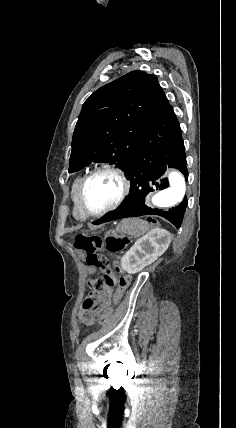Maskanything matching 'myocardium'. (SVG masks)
Segmentation results:
<instances>
[{
    "label": "myocardium",
    "instance_id": "1",
    "mask_svg": "<svg viewBox=\"0 0 236 428\" xmlns=\"http://www.w3.org/2000/svg\"><path fill=\"white\" fill-rule=\"evenodd\" d=\"M104 173L112 174L115 177H117L119 179V181L121 182L122 190H121V193H120L118 199L112 205L106 207L105 209H102L99 211H94V210L90 209L86 203L85 188H86L87 183L93 177H95L99 174H104ZM131 187H132L131 181L129 180L128 175L123 168H121L120 166H117L115 164H102V165L94 168L93 170H91L89 173H87L80 182L79 190H78V197H79V202H80L81 208L83 209V211L88 216H93V217L103 216L109 212L115 211L125 201V199L127 198V196L129 195V193L131 191Z\"/></svg>",
    "mask_w": 236,
    "mask_h": 428
}]
</instances>
